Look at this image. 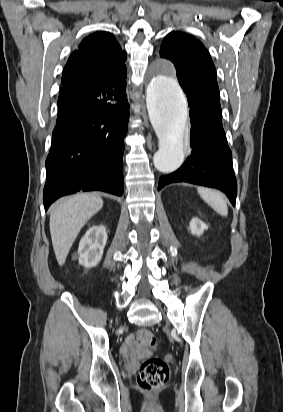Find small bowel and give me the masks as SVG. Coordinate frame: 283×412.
Masks as SVG:
<instances>
[{
    "label": "small bowel",
    "mask_w": 283,
    "mask_h": 412,
    "mask_svg": "<svg viewBox=\"0 0 283 412\" xmlns=\"http://www.w3.org/2000/svg\"><path fill=\"white\" fill-rule=\"evenodd\" d=\"M120 354L131 361H137L147 355V351L143 349L136 341L133 334L127 336L125 343L120 348Z\"/></svg>",
    "instance_id": "small-bowel-1"
}]
</instances>
